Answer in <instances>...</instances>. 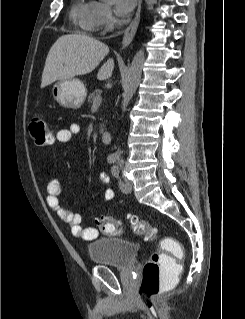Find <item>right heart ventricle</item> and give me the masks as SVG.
<instances>
[{"label":"right heart ventricle","mask_w":245,"mask_h":319,"mask_svg":"<svg viewBox=\"0 0 245 319\" xmlns=\"http://www.w3.org/2000/svg\"><path fill=\"white\" fill-rule=\"evenodd\" d=\"M100 5L95 0H76L70 16L82 31L93 33L97 29Z\"/></svg>","instance_id":"e07e8e85"}]
</instances>
